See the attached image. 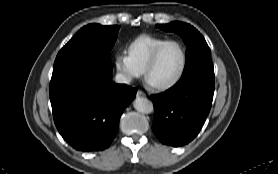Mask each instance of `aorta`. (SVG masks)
Instances as JSON below:
<instances>
[{
    "instance_id": "762f6f07",
    "label": "aorta",
    "mask_w": 278,
    "mask_h": 174,
    "mask_svg": "<svg viewBox=\"0 0 278 174\" xmlns=\"http://www.w3.org/2000/svg\"><path fill=\"white\" fill-rule=\"evenodd\" d=\"M133 107L142 113H150L152 111V103L144 97H136L133 101Z\"/></svg>"
}]
</instances>
